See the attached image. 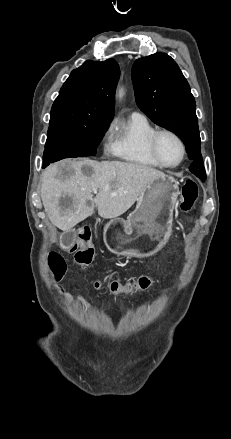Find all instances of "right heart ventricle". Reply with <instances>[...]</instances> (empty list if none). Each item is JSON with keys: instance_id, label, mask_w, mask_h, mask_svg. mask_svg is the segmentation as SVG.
Here are the masks:
<instances>
[{"instance_id": "1", "label": "right heart ventricle", "mask_w": 231, "mask_h": 439, "mask_svg": "<svg viewBox=\"0 0 231 439\" xmlns=\"http://www.w3.org/2000/svg\"><path fill=\"white\" fill-rule=\"evenodd\" d=\"M155 127L144 116L131 115L116 126L112 154L143 168H160L148 150V139Z\"/></svg>"}]
</instances>
